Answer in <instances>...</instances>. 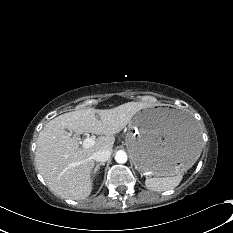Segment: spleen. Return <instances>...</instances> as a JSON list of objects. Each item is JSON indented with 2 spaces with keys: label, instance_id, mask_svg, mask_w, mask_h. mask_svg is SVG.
Segmentation results:
<instances>
[{
  "label": "spleen",
  "instance_id": "1",
  "mask_svg": "<svg viewBox=\"0 0 233 233\" xmlns=\"http://www.w3.org/2000/svg\"><path fill=\"white\" fill-rule=\"evenodd\" d=\"M181 179H182L181 173H177L174 176L147 178L145 181V185L149 190L165 191V190L173 189L176 186H178Z\"/></svg>",
  "mask_w": 233,
  "mask_h": 233
}]
</instances>
